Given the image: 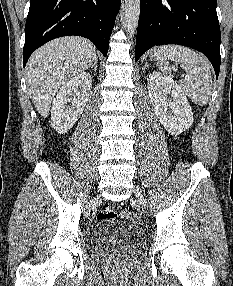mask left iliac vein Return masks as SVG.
<instances>
[{"label": "left iliac vein", "mask_w": 233, "mask_h": 286, "mask_svg": "<svg viewBox=\"0 0 233 286\" xmlns=\"http://www.w3.org/2000/svg\"><path fill=\"white\" fill-rule=\"evenodd\" d=\"M135 195H136V197L138 198L139 204H140L141 206H145V201H144V199H143V197H142V195L140 194V192H139L138 189H135Z\"/></svg>", "instance_id": "1"}]
</instances>
